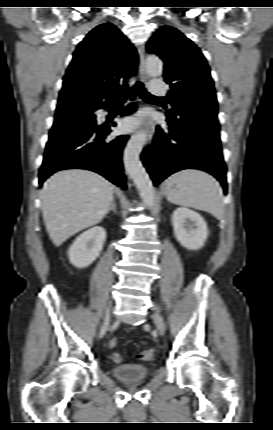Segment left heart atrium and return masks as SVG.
<instances>
[{"mask_svg": "<svg viewBox=\"0 0 273 430\" xmlns=\"http://www.w3.org/2000/svg\"><path fill=\"white\" fill-rule=\"evenodd\" d=\"M139 123V118H133L125 121L123 123V128L125 130H131L133 129L137 124Z\"/></svg>", "mask_w": 273, "mask_h": 430, "instance_id": "obj_1", "label": "left heart atrium"}]
</instances>
